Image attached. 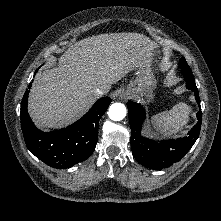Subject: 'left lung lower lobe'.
<instances>
[{
    "mask_svg": "<svg viewBox=\"0 0 221 221\" xmlns=\"http://www.w3.org/2000/svg\"><path fill=\"white\" fill-rule=\"evenodd\" d=\"M186 80V87L195 93V98L200 104L198 89L195 84L192 72H183ZM129 122L131 126V148L135 159L145 167L161 170L180 161L196 142L200 129L202 113H197V124L190 130L188 136L179 139L163 140L156 142L152 139L141 136V127L145 119V111L138 103L127 102Z\"/></svg>",
    "mask_w": 221,
    "mask_h": 221,
    "instance_id": "left-lung-lower-lobe-1",
    "label": "left lung lower lobe"
}]
</instances>
